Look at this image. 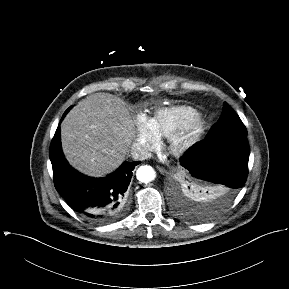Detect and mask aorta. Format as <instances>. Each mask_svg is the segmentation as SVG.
I'll list each match as a JSON object with an SVG mask.
<instances>
[{
	"mask_svg": "<svg viewBox=\"0 0 289 289\" xmlns=\"http://www.w3.org/2000/svg\"><path fill=\"white\" fill-rule=\"evenodd\" d=\"M136 176L140 182L148 183L154 180L155 171L151 166L144 165L138 168Z\"/></svg>",
	"mask_w": 289,
	"mask_h": 289,
	"instance_id": "1",
	"label": "aorta"
}]
</instances>
